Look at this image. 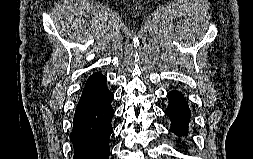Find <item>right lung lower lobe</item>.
Listing matches in <instances>:
<instances>
[{
  "label": "right lung lower lobe",
  "mask_w": 253,
  "mask_h": 159,
  "mask_svg": "<svg viewBox=\"0 0 253 159\" xmlns=\"http://www.w3.org/2000/svg\"><path fill=\"white\" fill-rule=\"evenodd\" d=\"M106 77L93 73L87 80L73 119L70 140L74 147L73 159H108L109 137L114 110L113 94L106 86Z\"/></svg>",
  "instance_id": "obj_1"
}]
</instances>
